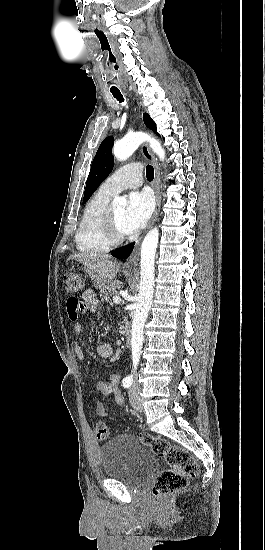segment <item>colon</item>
<instances>
[{"label":"colon","instance_id":"obj_1","mask_svg":"<svg viewBox=\"0 0 265 550\" xmlns=\"http://www.w3.org/2000/svg\"><path fill=\"white\" fill-rule=\"evenodd\" d=\"M65 290L70 295H77L84 290L85 279L82 275L67 272L64 275ZM74 310L70 315L72 321H76L78 313L83 308L82 301L74 299L68 303ZM109 436L108 426L100 422L96 426V437L104 441ZM140 440L148 446L157 456L162 457L170 466L159 473L152 488L154 497H163L184 488L188 481L197 477L199 466L192 455L182 447L170 444L167 440L155 437L149 433H141Z\"/></svg>","mask_w":265,"mask_h":550}]
</instances>
